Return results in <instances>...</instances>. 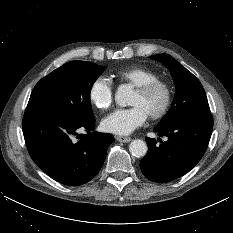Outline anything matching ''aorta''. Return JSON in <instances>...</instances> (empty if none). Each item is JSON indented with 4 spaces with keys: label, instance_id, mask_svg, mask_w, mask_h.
Wrapping results in <instances>:
<instances>
[{
    "label": "aorta",
    "instance_id": "1",
    "mask_svg": "<svg viewBox=\"0 0 233 233\" xmlns=\"http://www.w3.org/2000/svg\"><path fill=\"white\" fill-rule=\"evenodd\" d=\"M132 91L131 89L123 85L118 88L115 93V101L117 105L121 107H125L128 105V101L131 97ZM148 147L146 142L140 139L133 140L129 145V151L134 157H144L147 153Z\"/></svg>",
    "mask_w": 233,
    "mask_h": 233
}]
</instances>
